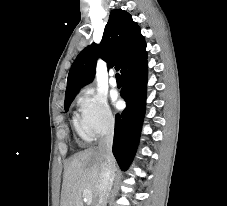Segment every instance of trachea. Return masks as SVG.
Wrapping results in <instances>:
<instances>
[{
	"label": "trachea",
	"mask_w": 227,
	"mask_h": 206,
	"mask_svg": "<svg viewBox=\"0 0 227 206\" xmlns=\"http://www.w3.org/2000/svg\"><path fill=\"white\" fill-rule=\"evenodd\" d=\"M115 70L118 72L120 70V66L119 65L115 66ZM116 77L121 78L120 74L118 73L116 74Z\"/></svg>",
	"instance_id": "obj_1"
}]
</instances>
